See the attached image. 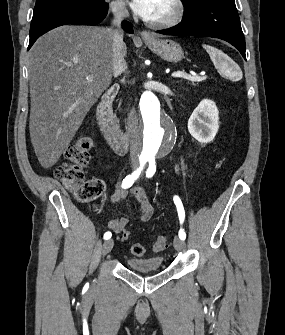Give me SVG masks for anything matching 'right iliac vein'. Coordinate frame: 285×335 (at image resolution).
Listing matches in <instances>:
<instances>
[{
    "instance_id": "obj_1",
    "label": "right iliac vein",
    "mask_w": 285,
    "mask_h": 335,
    "mask_svg": "<svg viewBox=\"0 0 285 335\" xmlns=\"http://www.w3.org/2000/svg\"><path fill=\"white\" fill-rule=\"evenodd\" d=\"M113 244H114L113 240L105 241L102 246V255H106L110 253V251L112 250Z\"/></svg>"
}]
</instances>
